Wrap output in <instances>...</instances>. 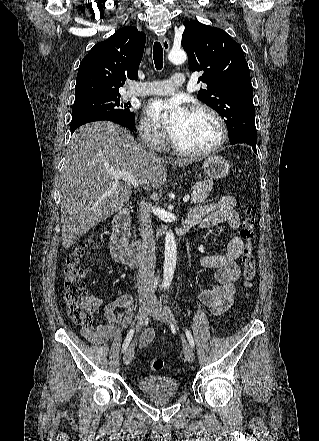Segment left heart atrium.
Returning a JSON list of instances; mask_svg holds the SVG:
<instances>
[{"label":"left heart atrium","mask_w":319,"mask_h":441,"mask_svg":"<svg viewBox=\"0 0 319 441\" xmlns=\"http://www.w3.org/2000/svg\"><path fill=\"white\" fill-rule=\"evenodd\" d=\"M147 113L172 137L187 117L180 99H155L148 103Z\"/></svg>","instance_id":"1"}]
</instances>
